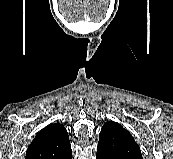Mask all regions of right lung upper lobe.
I'll return each mask as SVG.
<instances>
[{"label":"right lung upper lobe","instance_id":"obj_1","mask_svg":"<svg viewBox=\"0 0 173 159\" xmlns=\"http://www.w3.org/2000/svg\"><path fill=\"white\" fill-rule=\"evenodd\" d=\"M71 150L67 130L56 123L41 130L29 145L25 159H59Z\"/></svg>","mask_w":173,"mask_h":159}]
</instances>
